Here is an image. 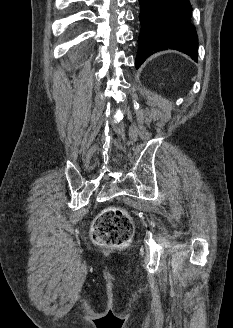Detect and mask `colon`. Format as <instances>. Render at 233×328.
Here are the masks:
<instances>
[{
    "mask_svg": "<svg viewBox=\"0 0 233 328\" xmlns=\"http://www.w3.org/2000/svg\"><path fill=\"white\" fill-rule=\"evenodd\" d=\"M134 232L130 215L118 207L104 209L92 227V239L102 247H118L128 243Z\"/></svg>",
    "mask_w": 233,
    "mask_h": 328,
    "instance_id": "5ec220e1",
    "label": "colon"
}]
</instances>
